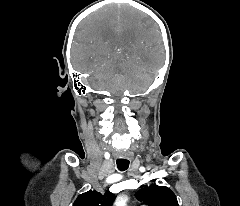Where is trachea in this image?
<instances>
[{
  "mask_svg": "<svg viewBox=\"0 0 240 206\" xmlns=\"http://www.w3.org/2000/svg\"><path fill=\"white\" fill-rule=\"evenodd\" d=\"M117 168L120 171H125L128 169L129 167V160H125V159H118L117 161Z\"/></svg>",
  "mask_w": 240,
  "mask_h": 206,
  "instance_id": "3493384b",
  "label": "trachea"
}]
</instances>
